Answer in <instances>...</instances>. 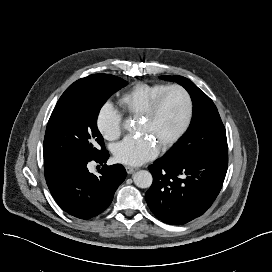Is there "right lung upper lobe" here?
<instances>
[{"instance_id":"cb5924a9","label":"right lung upper lobe","mask_w":272,"mask_h":272,"mask_svg":"<svg viewBox=\"0 0 272 272\" xmlns=\"http://www.w3.org/2000/svg\"><path fill=\"white\" fill-rule=\"evenodd\" d=\"M88 77H89V76H88ZM86 78H87V77L77 80L76 82H74V83H73L71 86H69V87H73V86H76V85L82 83Z\"/></svg>"}]
</instances>
